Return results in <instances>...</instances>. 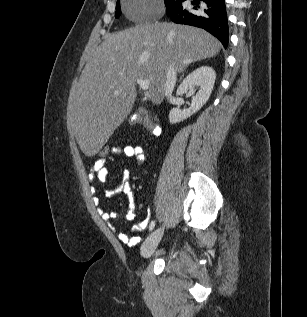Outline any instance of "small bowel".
Wrapping results in <instances>:
<instances>
[{
    "instance_id": "1",
    "label": "small bowel",
    "mask_w": 307,
    "mask_h": 317,
    "mask_svg": "<svg viewBox=\"0 0 307 317\" xmlns=\"http://www.w3.org/2000/svg\"><path fill=\"white\" fill-rule=\"evenodd\" d=\"M115 155H123L125 157L134 158L138 164L143 163L145 160V153L143 149L138 145L128 144L124 146H118L115 150ZM113 160H114V157L108 162L96 160L93 164V177H96L99 181L104 182L110 173V167L108 164L109 162ZM130 180H131V174L128 171H126L123 175V180L119 188L117 190H109L106 193L107 196H112L114 193H116L119 190L127 196L129 209L124 216V219L126 221H132L135 218L134 194H133ZM94 201L96 204H98L99 198L96 197ZM100 214L104 221H110L113 219H117L119 217V213L115 211H112V212L101 211ZM146 226H147V222L143 221L136 224L133 229L135 231H140L144 229ZM118 237L120 241H122L124 244L128 246H134L139 241L137 238L125 232L118 233Z\"/></svg>"
}]
</instances>
